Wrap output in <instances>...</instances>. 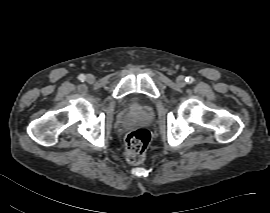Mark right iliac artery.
<instances>
[{"mask_svg":"<svg viewBox=\"0 0 270 213\" xmlns=\"http://www.w3.org/2000/svg\"><path fill=\"white\" fill-rule=\"evenodd\" d=\"M78 79H79L80 81H84V80H85V76H84L83 74H80V75L78 76Z\"/></svg>","mask_w":270,"mask_h":213,"instance_id":"82829eb1","label":"right iliac artery"}]
</instances>
